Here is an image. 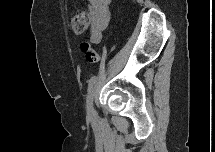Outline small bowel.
Masks as SVG:
<instances>
[{
    "label": "small bowel",
    "instance_id": "obj_1",
    "mask_svg": "<svg viewBox=\"0 0 215 152\" xmlns=\"http://www.w3.org/2000/svg\"><path fill=\"white\" fill-rule=\"evenodd\" d=\"M81 3L90 11L91 42L98 44L102 39V32L106 29L110 20V0H87L81 1Z\"/></svg>",
    "mask_w": 215,
    "mask_h": 152
}]
</instances>
